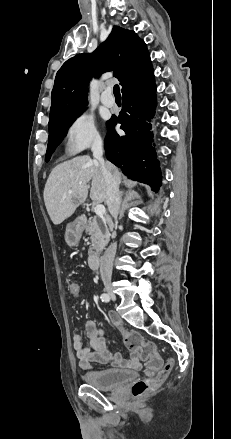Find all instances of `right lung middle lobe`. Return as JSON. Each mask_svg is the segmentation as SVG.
<instances>
[{"instance_id":"obj_1","label":"right lung middle lobe","mask_w":231,"mask_h":439,"mask_svg":"<svg viewBox=\"0 0 231 439\" xmlns=\"http://www.w3.org/2000/svg\"><path fill=\"white\" fill-rule=\"evenodd\" d=\"M79 115L80 113L75 116L64 119L63 121L49 127V142L45 156L46 162L50 160L51 155L54 152L56 146L60 144V142L63 140L64 136L67 134L69 127Z\"/></svg>"}]
</instances>
